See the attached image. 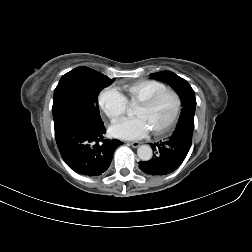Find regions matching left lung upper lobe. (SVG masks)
I'll return each instance as SVG.
<instances>
[{
	"instance_id": "1",
	"label": "left lung upper lobe",
	"mask_w": 252,
	"mask_h": 252,
	"mask_svg": "<svg viewBox=\"0 0 252 252\" xmlns=\"http://www.w3.org/2000/svg\"><path fill=\"white\" fill-rule=\"evenodd\" d=\"M152 77L166 82L178 93L183 106L179 120L182 119V117L194 119L196 99L194 91L189 83L171 71L153 73Z\"/></svg>"
}]
</instances>
